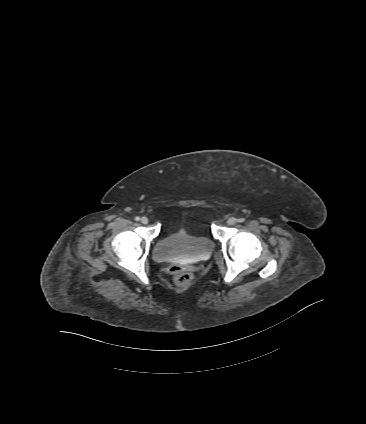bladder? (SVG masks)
Here are the masks:
<instances>
[{
  "label": "bladder",
  "mask_w": 366,
  "mask_h": 424,
  "mask_svg": "<svg viewBox=\"0 0 366 424\" xmlns=\"http://www.w3.org/2000/svg\"><path fill=\"white\" fill-rule=\"evenodd\" d=\"M213 241L204 235H194L185 229L165 234L154 245L153 258L159 262L202 260L214 250Z\"/></svg>",
  "instance_id": "1"
}]
</instances>
